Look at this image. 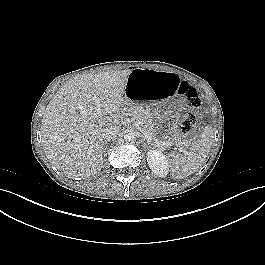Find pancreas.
<instances>
[{
	"instance_id": "pancreas-1",
	"label": "pancreas",
	"mask_w": 265,
	"mask_h": 265,
	"mask_svg": "<svg viewBox=\"0 0 265 265\" xmlns=\"http://www.w3.org/2000/svg\"><path fill=\"white\" fill-rule=\"evenodd\" d=\"M124 115H129L132 117V120L135 123L141 124V129L143 132L148 133L151 137H153L152 129L153 127L148 124L150 114L147 110L137 107L135 105L128 104V106L124 107L122 110ZM154 141H158L157 139L153 138Z\"/></svg>"
}]
</instances>
